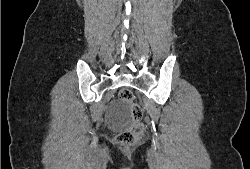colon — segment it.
<instances>
[{
	"label": "colon",
	"instance_id": "obj_1",
	"mask_svg": "<svg viewBox=\"0 0 250 169\" xmlns=\"http://www.w3.org/2000/svg\"><path fill=\"white\" fill-rule=\"evenodd\" d=\"M117 97L123 101V104L131 105V122L133 126H127L126 130H122L120 134H117V138H114L115 146H121V150H132L134 143H140V139H145L147 135L146 122H140L144 120V110L142 108V102H136L132 93V88H119Z\"/></svg>",
	"mask_w": 250,
	"mask_h": 169
}]
</instances>
